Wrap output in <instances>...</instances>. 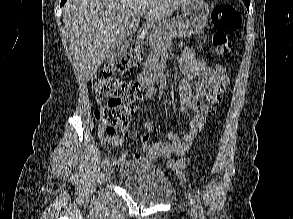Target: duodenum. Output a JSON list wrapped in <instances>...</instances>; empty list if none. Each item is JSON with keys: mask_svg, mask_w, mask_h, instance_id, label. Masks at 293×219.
Returning a JSON list of instances; mask_svg holds the SVG:
<instances>
[{"mask_svg": "<svg viewBox=\"0 0 293 219\" xmlns=\"http://www.w3.org/2000/svg\"><path fill=\"white\" fill-rule=\"evenodd\" d=\"M148 39V27L143 26L138 34H137V46H142ZM162 75L160 72H155L153 70L148 71L147 73L140 76L139 80L142 84H149L151 83L155 78H161Z\"/></svg>", "mask_w": 293, "mask_h": 219, "instance_id": "duodenum-1", "label": "duodenum"}]
</instances>
